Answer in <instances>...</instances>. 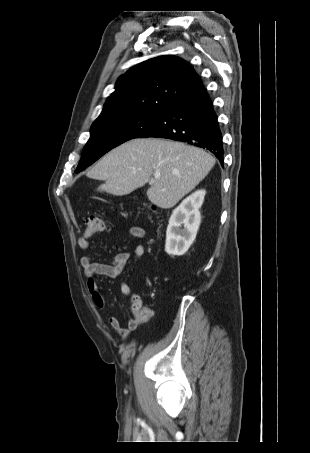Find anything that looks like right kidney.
<instances>
[{"mask_svg":"<svg viewBox=\"0 0 310 453\" xmlns=\"http://www.w3.org/2000/svg\"><path fill=\"white\" fill-rule=\"evenodd\" d=\"M206 191L197 190L184 199L173 211L166 231L165 251L181 256L194 242L201 223V208ZM183 226V228H181Z\"/></svg>","mask_w":310,"mask_h":453,"instance_id":"obj_1","label":"right kidney"}]
</instances>
